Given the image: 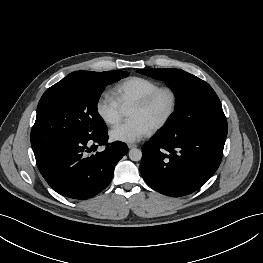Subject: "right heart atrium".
<instances>
[{
    "label": "right heart atrium",
    "instance_id": "right-heart-atrium-1",
    "mask_svg": "<svg viewBox=\"0 0 263 263\" xmlns=\"http://www.w3.org/2000/svg\"><path fill=\"white\" fill-rule=\"evenodd\" d=\"M96 112L107 125H115L122 116L123 108L110 93H102L96 101Z\"/></svg>",
    "mask_w": 263,
    "mask_h": 263
}]
</instances>
